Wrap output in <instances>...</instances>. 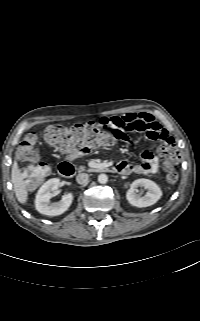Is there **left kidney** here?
<instances>
[{"label":"left kidney","instance_id":"1","mask_svg":"<svg viewBox=\"0 0 200 321\" xmlns=\"http://www.w3.org/2000/svg\"><path fill=\"white\" fill-rule=\"evenodd\" d=\"M141 186L147 190L145 196L137 194L135 188ZM162 196L160 187L152 180L149 179H137L132 182L130 189L126 193L128 202L135 207H148L155 204Z\"/></svg>","mask_w":200,"mask_h":321}]
</instances>
